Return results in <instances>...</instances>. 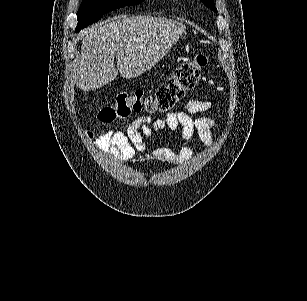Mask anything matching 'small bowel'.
<instances>
[{"label":"small bowel","mask_w":307,"mask_h":301,"mask_svg":"<svg viewBox=\"0 0 307 301\" xmlns=\"http://www.w3.org/2000/svg\"><path fill=\"white\" fill-rule=\"evenodd\" d=\"M213 108L211 101L190 100L185 109L178 112H169L164 118L153 119L140 116L134 119L125 131L106 129L95 136L94 131L88 130L86 135L94 139L98 149L109 151L122 162L131 161L136 152H143L146 148V139L156 133L162 135L174 132L180 133V147L174 150L170 147H160L151 153L141 156V160H155L170 165L186 163L192 156L189 141L196 137L207 147L214 144L213 131L217 122L210 117L193 118L194 114L206 112Z\"/></svg>","instance_id":"c3829d8e"}]
</instances>
